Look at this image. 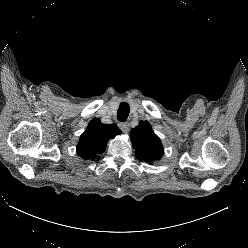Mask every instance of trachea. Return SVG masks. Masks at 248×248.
I'll return each instance as SVG.
<instances>
[{"label":"trachea","instance_id":"1","mask_svg":"<svg viewBox=\"0 0 248 248\" xmlns=\"http://www.w3.org/2000/svg\"><path fill=\"white\" fill-rule=\"evenodd\" d=\"M129 111L130 107L128 103H121L117 111L118 120L121 122H125L129 116Z\"/></svg>","mask_w":248,"mask_h":248}]
</instances>
